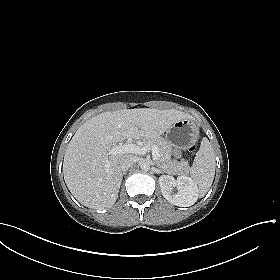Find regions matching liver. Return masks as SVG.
<instances>
[{
  "mask_svg": "<svg viewBox=\"0 0 280 280\" xmlns=\"http://www.w3.org/2000/svg\"><path fill=\"white\" fill-rule=\"evenodd\" d=\"M191 118L182 111L151 108L107 111L90 118L76 131L64 155L68 189L86 207H111L122 181L120 160L127 154H110V149L128 138H158L177 121Z\"/></svg>",
  "mask_w": 280,
  "mask_h": 280,
  "instance_id": "1",
  "label": "liver"
}]
</instances>
